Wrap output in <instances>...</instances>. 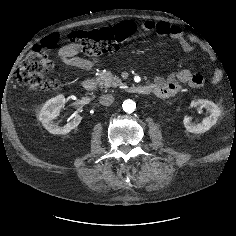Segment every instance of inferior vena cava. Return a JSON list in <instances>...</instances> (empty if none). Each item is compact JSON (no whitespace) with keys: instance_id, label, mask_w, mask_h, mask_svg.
<instances>
[{"instance_id":"1","label":"inferior vena cava","mask_w":236,"mask_h":236,"mask_svg":"<svg viewBox=\"0 0 236 236\" xmlns=\"http://www.w3.org/2000/svg\"><path fill=\"white\" fill-rule=\"evenodd\" d=\"M114 102V97L111 94L102 95L100 97V103L103 106H110Z\"/></svg>"}]
</instances>
